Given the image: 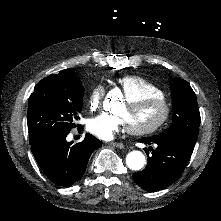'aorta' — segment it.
Returning <instances> with one entry per match:
<instances>
[{
  "mask_svg": "<svg viewBox=\"0 0 221 221\" xmlns=\"http://www.w3.org/2000/svg\"><path fill=\"white\" fill-rule=\"evenodd\" d=\"M145 156L140 151H131L126 155V164L129 169L137 171L144 167Z\"/></svg>",
  "mask_w": 221,
  "mask_h": 221,
  "instance_id": "obj_1",
  "label": "aorta"
}]
</instances>
